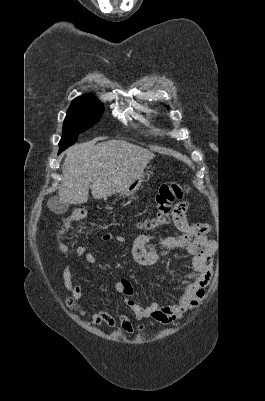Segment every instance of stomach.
<instances>
[{
  "instance_id": "obj_1",
  "label": "stomach",
  "mask_w": 265,
  "mask_h": 401,
  "mask_svg": "<svg viewBox=\"0 0 265 401\" xmlns=\"http://www.w3.org/2000/svg\"><path fill=\"white\" fill-rule=\"evenodd\" d=\"M145 176V170H141L139 174H137L136 178L130 182V184H126L125 188L119 190V196H130V194H134L136 190H138L139 186H141Z\"/></svg>"
}]
</instances>
